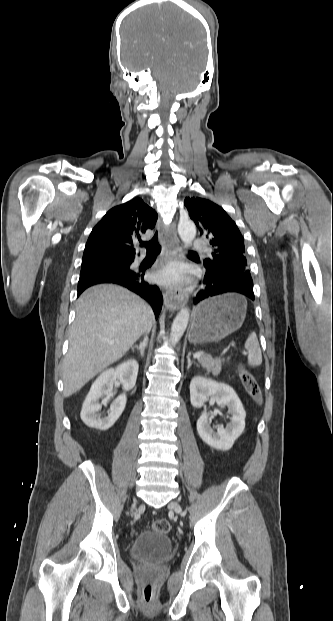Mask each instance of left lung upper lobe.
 Instances as JSON below:
<instances>
[{"label": "left lung upper lobe", "mask_w": 333, "mask_h": 621, "mask_svg": "<svg viewBox=\"0 0 333 621\" xmlns=\"http://www.w3.org/2000/svg\"><path fill=\"white\" fill-rule=\"evenodd\" d=\"M184 205L200 233L210 240L212 258L204 260V267L214 272L221 270L250 274L243 236L225 210L199 197L185 198Z\"/></svg>", "instance_id": "1"}]
</instances>
